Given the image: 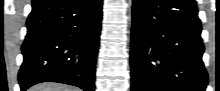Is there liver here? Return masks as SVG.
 Listing matches in <instances>:
<instances>
[{"instance_id": "6515ba94", "label": "liver", "mask_w": 220, "mask_h": 91, "mask_svg": "<svg viewBox=\"0 0 220 91\" xmlns=\"http://www.w3.org/2000/svg\"><path fill=\"white\" fill-rule=\"evenodd\" d=\"M29 91H79L77 88H72L62 84L42 83L30 88Z\"/></svg>"}]
</instances>
